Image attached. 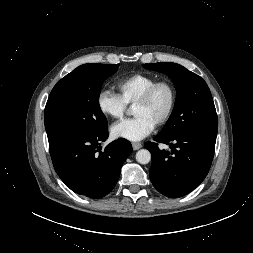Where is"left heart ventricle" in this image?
Listing matches in <instances>:
<instances>
[{"mask_svg": "<svg viewBox=\"0 0 253 253\" xmlns=\"http://www.w3.org/2000/svg\"><path fill=\"white\" fill-rule=\"evenodd\" d=\"M170 104V92L165 86L160 87L151 101L145 105H134V116H144L154 124L165 114Z\"/></svg>", "mask_w": 253, "mask_h": 253, "instance_id": "b2bd125f", "label": "left heart ventricle"}]
</instances>
